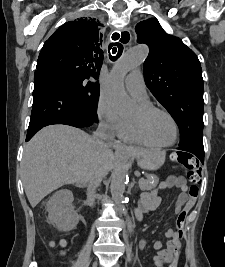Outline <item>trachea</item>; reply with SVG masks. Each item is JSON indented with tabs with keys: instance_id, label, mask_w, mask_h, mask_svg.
<instances>
[{
	"instance_id": "trachea-1",
	"label": "trachea",
	"mask_w": 225,
	"mask_h": 267,
	"mask_svg": "<svg viewBox=\"0 0 225 267\" xmlns=\"http://www.w3.org/2000/svg\"><path fill=\"white\" fill-rule=\"evenodd\" d=\"M114 35H115L114 40H118L120 38L119 33H115ZM126 37L130 38L129 34L124 32L122 34L120 41L122 43H124L126 40ZM110 51L112 52V54H109L110 60L115 61L116 59H118L121 56V54L123 52V45L121 43H118V42L117 43H111L109 45V53H110Z\"/></svg>"
}]
</instances>
